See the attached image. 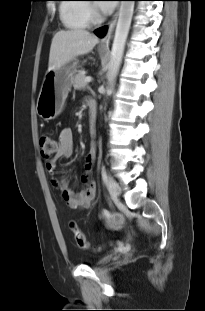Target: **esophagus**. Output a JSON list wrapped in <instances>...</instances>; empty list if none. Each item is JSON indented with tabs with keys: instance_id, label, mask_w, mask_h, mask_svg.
I'll use <instances>...</instances> for the list:
<instances>
[{
	"instance_id": "1",
	"label": "esophagus",
	"mask_w": 205,
	"mask_h": 311,
	"mask_svg": "<svg viewBox=\"0 0 205 311\" xmlns=\"http://www.w3.org/2000/svg\"><path fill=\"white\" fill-rule=\"evenodd\" d=\"M119 16V8H117L115 14L113 15V17L111 18V20L108 22V30L106 35L102 38L100 45L102 47H108L110 44V41L112 39L113 36V32L116 26V22Z\"/></svg>"
}]
</instances>
